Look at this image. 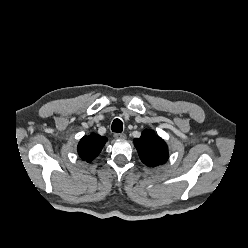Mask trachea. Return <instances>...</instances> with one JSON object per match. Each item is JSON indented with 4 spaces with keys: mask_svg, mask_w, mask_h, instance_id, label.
I'll return each mask as SVG.
<instances>
[{
    "mask_svg": "<svg viewBox=\"0 0 248 248\" xmlns=\"http://www.w3.org/2000/svg\"><path fill=\"white\" fill-rule=\"evenodd\" d=\"M111 129L113 132L121 133L123 131V123L120 119H115L112 122Z\"/></svg>",
    "mask_w": 248,
    "mask_h": 248,
    "instance_id": "3493384b",
    "label": "trachea"
}]
</instances>
